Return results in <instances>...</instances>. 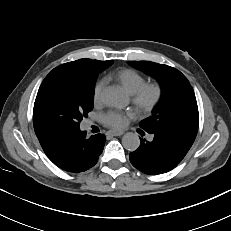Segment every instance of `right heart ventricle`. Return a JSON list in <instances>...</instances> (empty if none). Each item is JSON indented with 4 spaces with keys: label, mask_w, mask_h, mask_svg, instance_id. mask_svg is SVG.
<instances>
[{
    "label": "right heart ventricle",
    "mask_w": 231,
    "mask_h": 231,
    "mask_svg": "<svg viewBox=\"0 0 231 231\" xmlns=\"http://www.w3.org/2000/svg\"><path fill=\"white\" fill-rule=\"evenodd\" d=\"M117 82L129 93L133 94L146 83L145 77L134 69H123L116 74Z\"/></svg>",
    "instance_id": "1"
}]
</instances>
